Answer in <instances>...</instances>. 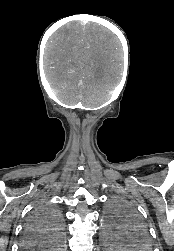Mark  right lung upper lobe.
<instances>
[{
  "label": "right lung upper lobe",
  "mask_w": 174,
  "mask_h": 251,
  "mask_svg": "<svg viewBox=\"0 0 174 251\" xmlns=\"http://www.w3.org/2000/svg\"><path fill=\"white\" fill-rule=\"evenodd\" d=\"M46 245H48V243L42 242L36 233L29 232L26 235V240L23 243L22 248L27 250H37L39 248L45 247Z\"/></svg>",
  "instance_id": "cb5924a9"
}]
</instances>
